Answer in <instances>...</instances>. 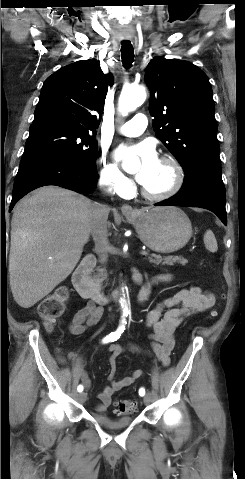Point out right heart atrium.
Here are the masks:
<instances>
[{"mask_svg":"<svg viewBox=\"0 0 245 479\" xmlns=\"http://www.w3.org/2000/svg\"><path fill=\"white\" fill-rule=\"evenodd\" d=\"M99 182L107 190L119 195H126L132 184L105 154H101L99 159Z\"/></svg>","mask_w":245,"mask_h":479,"instance_id":"1","label":"right heart atrium"}]
</instances>
